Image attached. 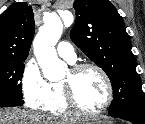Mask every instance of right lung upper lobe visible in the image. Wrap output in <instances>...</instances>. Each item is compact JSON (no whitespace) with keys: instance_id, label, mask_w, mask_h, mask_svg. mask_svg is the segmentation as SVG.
Segmentation results:
<instances>
[{"instance_id":"right-lung-upper-lobe-1","label":"right lung upper lobe","mask_w":145,"mask_h":124,"mask_svg":"<svg viewBox=\"0 0 145 124\" xmlns=\"http://www.w3.org/2000/svg\"><path fill=\"white\" fill-rule=\"evenodd\" d=\"M34 32L32 7L26 2L11 5L0 16V59H26Z\"/></svg>"}]
</instances>
